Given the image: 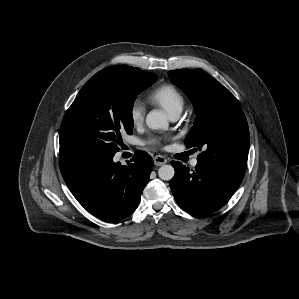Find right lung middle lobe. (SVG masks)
I'll use <instances>...</instances> for the list:
<instances>
[{"mask_svg":"<svg viewBox=\"0 0 299 299\" xmlns=\"http://www.w3.org/2000/svg\"><path fill=\"white\" fill-rule=\"evenodd\" d=\"M156 75L136 76L120 66L96 73L66 111L60 128V148L115 154L121 134L133 132L136 96L153 84Z\"/></svg>","mask_w":299,"mask_h":299,"instance_id":"1","label":"right lung middle lobe"}]
</instances>
